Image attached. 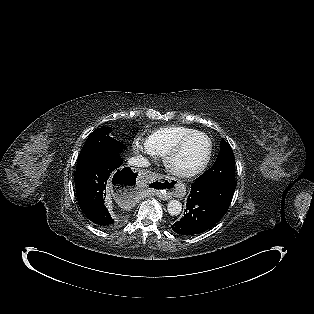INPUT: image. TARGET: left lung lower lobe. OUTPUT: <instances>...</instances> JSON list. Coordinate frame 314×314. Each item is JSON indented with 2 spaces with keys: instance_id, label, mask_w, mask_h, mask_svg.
Here are the masks:
<instances>
[{
  "instance_id": "left-lung-lower-lobe-1",
  "label": "left lung lower lobe",
  "mask_w": 314,
  "mask_h": 314,
  "mask_svg": "<svg viewBox=\"0 0 314 314\" xmlns=\"http://www.w3.org/2000/svg\"><path fill=\"white\" fill-rule=\"evenodd\" d=\"M236 181H196L191 184L184 217L171 225L179 235H194L213 227L227 212Z\"/></svg>"
}]
</instances>
